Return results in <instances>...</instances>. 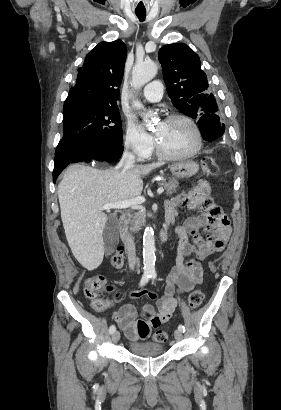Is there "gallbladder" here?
Returning a JSON list of instances; mask_svg holds the SVG:
<instances>
[{"label":"gallbladder","mask_w":281,"mask_h":410,"mask_svg":"<svg viewBox=\"0 0 281 410\" xmlns=\"http://www.w3.org/2000/svg\"><path fill=\"white\" fill-rule=\"evenodd\" d=\"M119 240L118 220L114 216H109L103 231L104 250L106 254L114 252Z\"/></svg>","instance_id":"bac80fb5"}]
</instances>
